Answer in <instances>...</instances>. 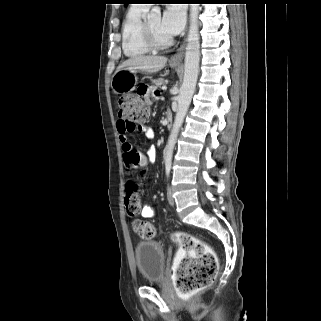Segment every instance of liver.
Returning a JSON list of instances; mask_svg holds the SVG:
<instances>
[{
  "instance_id": "obj_1",
  "label": "liver",
  "mask_w": 321,
  "mask_h": 321,
  "mask_svg": "<svg viewBox=\"0 0 321 321\" xmlns=\"http://www.w3.org/2000/svg\"><path fill=\"white\" fill-rule=\"evenodd\" d=\"M167 63L164 56H136L124 61L117 71L127 69L133 71H142L147 73H156L162 70Z\"/></svg>"
}]
</instances>
